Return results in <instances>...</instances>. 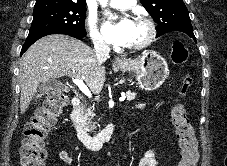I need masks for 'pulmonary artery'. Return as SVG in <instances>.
<instances>
[{"mask_svg": "<svg viewBox=\"0 0 227 166\" xmlns=\"http://www.w3.org/2000/svg\"><path fill=\"white\" fill-rule=\"evenodd\" d=\"M136 3V0H110L109 5L117 9H128Z\"/></svg>", "mask_w": 227, "mask_h": 166, "instance_id": "pulmonary-artery-1", "label": "pulmonary artery"}]
</instances>
